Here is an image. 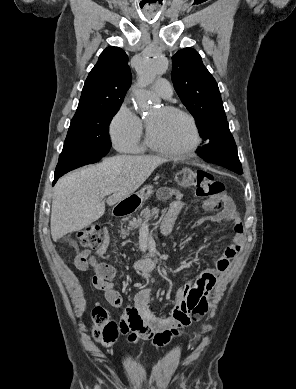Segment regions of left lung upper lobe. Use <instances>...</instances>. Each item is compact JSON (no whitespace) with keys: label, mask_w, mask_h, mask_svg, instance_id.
Listing matches in <instances>:
<instances>
[{"label":"left lung upper lobe","mask_w":296,"mask_h":389,"mask_svg":"<svg viewBox=\"0 0 296 389\" xmlns=\"http://www.w3.org/2000/svg\"><path fill=\"white\" fill-rule=\"evenodd\" d=\"M172 81L183 104L197 121L206 142L211 134L227 124L219 88L193 48L179 50L172 56Z\"/></svg>","instance_id":"left-lung-upper-lobe-1"}]
</instances>
